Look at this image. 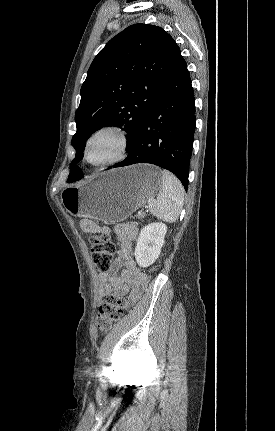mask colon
<instances>
[{"instance_id":"1","label":"colon","mask_w":275,"mask_h":431,"mask_svg":"<svg viewBox=\"0 0 275 431\" xmlns=\"http://www.w3.org/2000/svg\"><path fill=\"white\" fill-rule=\"evenodd\" d=\"M90 253L96 268L100 272L109 270L112 265L115 247L104 240L92 239ZM127 308V302L114 293L106 295L105 302L101 304L96 317L97 328L103 332L111 329L112 325L121 320Z\"/></svg>"}]
</instances>
